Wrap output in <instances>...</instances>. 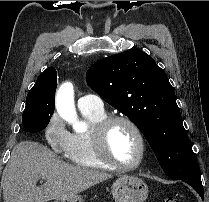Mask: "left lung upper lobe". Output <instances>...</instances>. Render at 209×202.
I'll use <instances>...</instances> for the list:
<instances>
[{"label":"left lung upper lobe","mask_w":209,"mask_h":202,"mask_svg":"<svg viewBox=\"0 0 209 202\" xmlns=\"http://www.w3.org/2000/svg\"><path fill=\"white\" fill-rule=\"evenodd\" d=\"M86 81L140 129L168 177L199 173L173 87L151 56L130 49L103 58L89 68Z\"/></svg>","instance_id":"5c2ea615"}]
</instances>
